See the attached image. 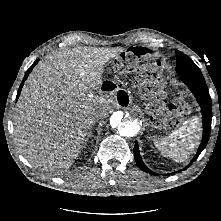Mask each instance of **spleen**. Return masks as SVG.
Wrapping results in <instances>:
<instances>
[{
  "mask_svg": "<svg viewBox=\"0 0 221 221\" xmlns=\"http://www.w3.org/2000/svg\"><path fill=\"white\" fill-rule=\"evenodd\" d=\"M200 130L199 119L193 117L168 136L155 140L154 144L164 156L173 158L176 162H183L196 147Z\"/></svg>",
  "mask_w": 221,
  "mask_h": 221,
  "instance_id": "spleen-1",
  "label": "spleen"
}]
</instances>
